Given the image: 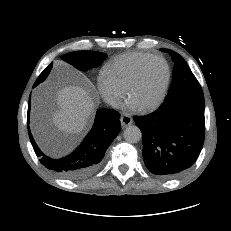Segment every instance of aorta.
I'll use <instances>...</instances> for the list:
<instances>
[{
    "label": "aorta",
    "instance_id": "1",
    "mask_svg": "<svg viewBox=\"0 0 231 231\" xmlns=\"http://www.w3.org/2000/svg\"><path fill=\"white\" fill-rule=\"evenodd\" d=\"M123 137L128 143H137L141 140L142 133L136 125H130L124 130Z\"/></svg>",
    "mask_w": 231,
    "mask_h": 231
}]
</instances>
